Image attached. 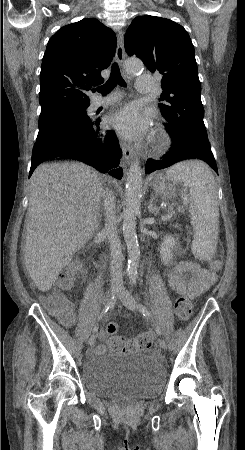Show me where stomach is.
Instances as JSON below:
<instances>
[{"label":"stomach","instance_id":"1","mask_svg":"<svg viewBox=\"0 0 245 450\" xmlns=\"http://www.w3.org/2000/svg\"><path fill=\"white\" fill-rule=\"evenodd\" d=\"M152 185L155 193L165 199L174 198L178 191L176 184L163 174L156 175L153 178Z\"/></svg>","mask_w":245,"mask_h":450}]
</instances>
